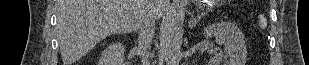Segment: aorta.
<instances>
[{
	"instance_id": "762f6f07",
	"label": "aorta",
	"mask_w": 309,
	"mask_h": 65,
	"mask_svg": "<svg viewBox=\"0 0 309 65\" xmlns=\"http://www.w3.org/2000/svg\"><path fill=\"white\" fill-rule=\"evenodd\" d=\"M183 11L182 1L174 0L173 9L168 18L164 40V58L166 65H179L181 59Z\"/></svg>"
}]
</instances>
